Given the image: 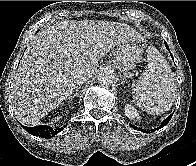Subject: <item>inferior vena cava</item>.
<instances>
[{
  "instance_id": "602c4592",
  "label": "inferior vena cava",
  "mask_w": 196,
  "mask_h": 166,
  "mask_svg": "<svg viewBox=\"0 0 196 166\" xmlns=\"http://www.w3.org/2000/svg\"><path fill=\"white\" fill-rule=\"evenodd\" d=\"M92 75L90 73L77 72L74 76V83L77 85L85 83Z\"/></svg>"
}]
</instances>
